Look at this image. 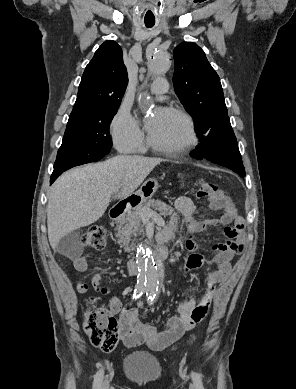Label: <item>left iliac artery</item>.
I'll use <instances>...</instances> for the list:
<instances>
[{"mask_svg": "<svg viewBox=\"0 0 296 389\" xmlns=\"http://www.w3.org/2000/svg\"><path fill=\"white\" fill-rule=\"evenodd\" d=\"M192 379L197 387V389H204L203 382H202V376L198 373L192 372Z\"/></svg>", "mask_w": 296, "mask_h": 389, "instance_id": "1", "label": "left iliac artery"}]
</instances>
